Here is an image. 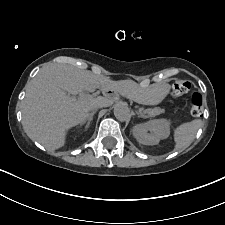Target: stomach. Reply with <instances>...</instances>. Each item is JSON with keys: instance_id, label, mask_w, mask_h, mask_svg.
Wrapping results in <instances>:
<instances>
[{"instance_id": "1", "label": "stomach", "mask_w": 225, "mask_h": 225, "mask_svg": "<svg viewBox=\"0 0 225 225\" xmlns=\"http://www.w3.org/2000/svg\"><path fill=\"white\" fill-rule=\"evenodd\" d=\"M168 92V85H163L159 89L151 91L144 96L146 104L155 105L160 103Z\"/></svg>"}]
</instances>
